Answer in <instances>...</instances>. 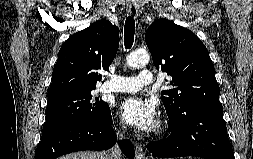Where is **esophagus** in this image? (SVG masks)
<instances>
[{
    "instance_id": "obj_1",
    "label": "esophagus",
    "mask_w": 253,
    "mask_h": 159,
    "mask_svg": "<svg viewBox=\"0 0 253 159\" xmlns=\"http://www.w3.org/2000/svg\"><path fill=\"white\" fill-rule=\"evenodd\" d=\"M138 9H139V6L136 1H131L130 3L127 4V12L133 18H137ZM135 154H136V159H148L143 147L139 144L135 145Z\"/></svg>"
}]
</instances>
